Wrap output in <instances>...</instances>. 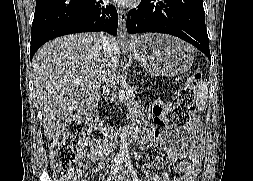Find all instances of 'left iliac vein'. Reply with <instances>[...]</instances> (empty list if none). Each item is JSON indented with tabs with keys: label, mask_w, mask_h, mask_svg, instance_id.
<instances>
[{
	"label": "left iliac vein",
	"mask_w": 253,
	"mask_h": 181,
	"mask_svg": "<svg viewBox=\"0 0 253 181\" xmlns=\"http://www.w3.org/2000/svg\"><path fill=\"white\" fill-rule=\"evenodd\" d=\"M121 181H131V178L129 177L127 172L123 173V176L120 178Z\"/></svg>",
	"instance_id": "4c4485c4"
}]
</instances>
